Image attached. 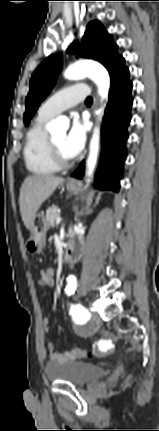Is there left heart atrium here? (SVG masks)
I'll return each mask as SVG.
<instances>
[{"instance_id":"1","label":"left heart atrium","mask_w":159,"mask_h":431,"mask_svg":"<svg viewBox=\"0 0 159 431\" xmlns=\"http://www.w3.org/2000/svg\"><path fill=\"white\" fill-rule=\"evenodd\" d=\"M85 140L86 130L83 123L78 119H74L64 141L66 152L71 157L77 156L82 151Z\"/></svg>"}]
</instances>
